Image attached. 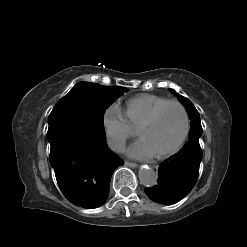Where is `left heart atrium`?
Segmentation results:
<instances>
[{
	"instance_id": "39dd6f15",
	"label": "left heart atrium",
	"mask_w": 247,
	"mask_h": 247,
	"mask_svg": "<svg viewBox=\"0 0 247 247\" xmlns=\"http://www.w3.org/2000/svg\"><path fill=\"white\" fill-rule=\"evenodd\" d=\"M128 155L133 158L145 159L154 155L153 150L143 139H139L134 142L127 151Z\"/></svg>"
}]
</instances>
